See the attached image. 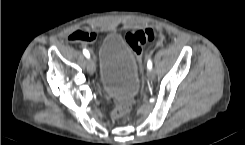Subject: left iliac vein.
I'll use <instances>...</instances> for the list:
<instances>
[{
	"instance_id": "1",
	"label": "left iliac vein",
	"mask_w": 245,
	"mask_h": 145,
	"mask_svg": "<svg viewBox=\"0 0 245 145\" xmlns=\"http://www.w3.org/2000/svg\"><path fill=\"white\" fill-rule=\"evenodd\" d=\"M147 76H148L149 79H154V77H155V71L153 69H149L147 71Z\"/></svg>"
}]
</instances>
